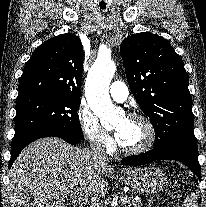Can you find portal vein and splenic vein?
I'll return each instance as SVG.
<instances>
[{"instance_id": "portal-vein-and-splenic-vein-1", "label": "portal vein and splenic vein", "mask_w": 206, "mask_h": 207, "mask_svg": "<svg viewBox=\"0 0 206 207\" xmlns=\"http://www.w3.org/2000/svg\"><path fill=\"white\" fill-rule=\"evenodd\" d=\"M65 196H70L72 199L76 200V201H79V202H82L84 201V199L82 198V194L79 193L78 191H67L65 192ZM130 200L128 198H124L122 200L123 203H127L129 202ZM98 205V204H97Z\"/></svg>"}]
</instances>
